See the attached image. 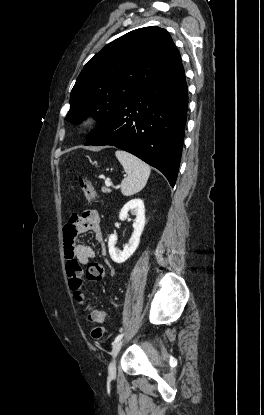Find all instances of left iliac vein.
<instances>
[{"mask_svg":"<svg viewBox=\"0 0 264 415\" xmlns=\"http://www.w3.org/2000/svg\"><path fill=\"white\" fill-rule=\"evenodd\" d=\"M122 345H123V340L122 339H120L119 341H117L116 343L113 344V348H112V352H111L112 360H111V362L109 364V368H108L110 377H115V375H116V362H115V359H116V356L119 353Z\"/></svg>","mask_w":264,"mask_h":415,"instance_id":"4c4485c4","label":"left iliac vein"}]
</instances>
